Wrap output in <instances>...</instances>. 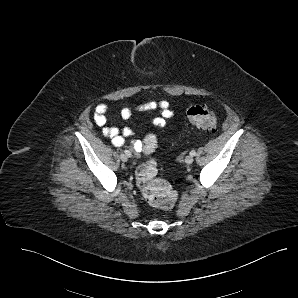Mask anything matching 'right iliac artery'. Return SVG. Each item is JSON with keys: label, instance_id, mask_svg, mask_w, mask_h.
<instances>
[{"label": "right iliac artery", "instance_id": "right-iliac-artery-1", "mask_svg": "<svg viewBox=\"0 0 298 298\" xmlns=\"http://www.w3.org/2000/svg\"><path fill=\"white\" fill-rule=\"evenodd\" d=\"M124 152L128 157H131V152L129 150H125Z\"/></svg>", "mask_w": 298, "mask_h": 298}]
</instances>
